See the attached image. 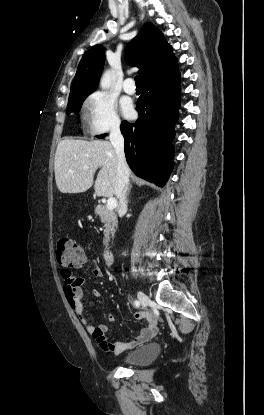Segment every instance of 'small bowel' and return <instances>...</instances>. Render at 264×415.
I'll return each instance as SVG.
<instances>
[{
	"label": "small bowel",
	"instance_id": "obj_1",
	"mask_svg": "<svg viewBox=\"0 0 264 415\" xmlns=\"http://www.w3.org/2000/svg\"><path fill=\"white\" fill-rule=\"evenodd\" d=\"M91 273L96 279H101L104 276L103 270L96 264L92 265ZM60 275L63 280V290L68 297L75 314L85 326L86 331L97 341L103 350L119 355L126 350L149 343L156 336L159 320L154 314H150L146 317L145 324L142 325L140 333L136 338L111 343L106 337L109 326L107 324L96 325L90 323L85 315L84 295L82 293V287L85 284V280L82 277L73 275L71 271L66 269H62ZM92 293L96 298L101 297V294L97 289H93ZM132 318L133 320L140 321L144 316L140 312H135L133 313ZM109 319H112L111 315H109Z\"/></svg>",
	"mask_w": 264,
	"mask_h": 415
}]
</instances>
